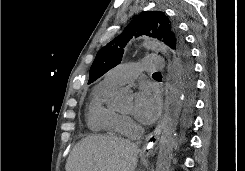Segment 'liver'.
Listing matches in <instances>:
<instances>
[{
	"label": "liver",
	"instance_id": "obj_1",
	"mask_svg": "<svg viewBox=\"0 0 245 171\" xmlns=\"http://www.w3.org/2000/svg\"><path fill=\"white\" fill-rule=\"evenodd\" d=\"M138 146L114 136H88L71 151L66 171H134Z\"/></svg>",
	"mask_w": 245,
	"mask_h": 171
}]
</instances>
